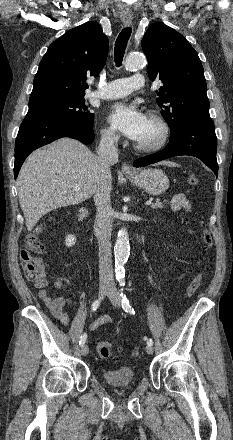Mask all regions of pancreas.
<instances>
[{
	"instance_id": "cf45deb5",
	"label": "pancreas",
	"mask_w": 233,
	"mask_h": 440,
	"mask_svg": "<svg viewBox=\"0 0 233 440\" xmlns=\"http://www.w3.org/2000/svg\"><path fill=\"white\" fill-rule=\"evenodd\" d=\"M166 203V201H164ZM153 209L163 208V203L158 199L154 204L151 205Z\"/></svg>"
}]
</instances>
